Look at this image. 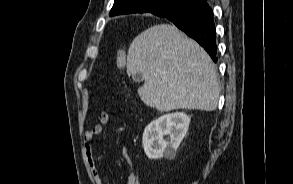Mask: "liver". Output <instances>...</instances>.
I'll use <instances>...</instances> for the list:
<instances>
[{
    "label": "liver",
    "instance_id": "6515ba94",
    "mask_svg": "<svg viewBox=\"0 0 293 184\" xmlns=\"http://www.w3.org/2000/svg\"><path fill=\"white\" fill-rule=\"evenodd\" d=\"M127 74L141 73L138 89L149 107L213 111L219 99L216 68L206 51L174 25H154L132 41Z\"/></svg>",
    "mask_w": 293,
    "mask_h": 184
}]
</instances>
